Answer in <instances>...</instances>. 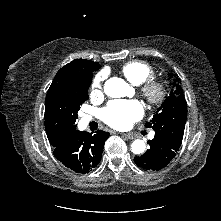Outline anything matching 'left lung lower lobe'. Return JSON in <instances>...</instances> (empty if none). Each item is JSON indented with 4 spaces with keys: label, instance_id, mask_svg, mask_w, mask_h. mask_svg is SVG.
<instances>
[{
    "label": "left lung lower lobe",
    "instance_id": "obj_1",
    "mask_svg": "<svg viewBox=\"0 0 221 221\" xmlns=\"http://www.w3.org/2000/svg\"><path fill=\"white\" fill-rule=\"evenodd\" d=\"M182 140L173 135L155 132L154 139L148 141L150 148L141 156H136V165L145 169L158 171L166 167L175 157Z\"/></svg>",
    "mask_w": 221,
    "mask_h": 221
}]
</instances>
